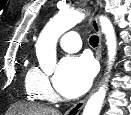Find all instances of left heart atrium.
Segmentation results:
<instances>
[{
  "label": "left heart atrium",
  "instance_id": "obj_1",
  "mask_svg": "<svg viewBox=\"0 0 131 115\" xmlns=\"http://www.w3.org/2000/svg\"><path fill=\"white\" fill-rule=\"evenodd\" d=\"M94 74V65L90 59L84 56H67L58 67L54 85L63 96L78 97L89 88Z\"/></svg>",
  "mask_w": 131,
  "mask_h": 115
}]
</instances>
